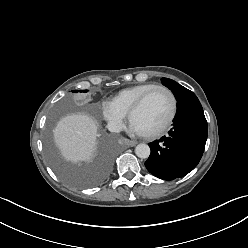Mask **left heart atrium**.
I'll list each match as a JSON object with an SVG mask.
<instances>
[{"label":"left heart atrium","mask_w":248,"mask_h":248,"mask_svg":"<svg viewBox=\"0 0 248 248\" xmlns=\"http://www.w3.org/2000/svg\"><path fill=\"white\" fill-rule=\"evenodd\" d=\"M131 128L134 132L138 133V134H142L137 128H135L132 124H131Z\"/></svg>","instance_id":"left-heart-atrium-1"}]
</instances>
